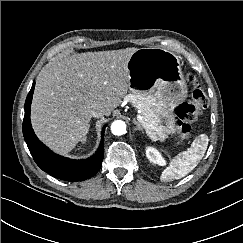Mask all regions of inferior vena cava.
I'll return each instance as SVG.
<instances>
[{
    "label": "inferior vena cava",
    "instance_id": "inferior-vena-cava-1",
    "mask_svg": "<svg viewBox=\"0 0 243 243\" xmlns=\"http://www.w3.org/2000/svg\"><path fill=\"white\" fill-rule=\"evenodd\" d=\"M90 113L93 117H102L105 115V109L102 105L95 103L92 105Z\"/></svg>",
    "mask_w": 243,
    "mask_h": 243
}]
</instances>
